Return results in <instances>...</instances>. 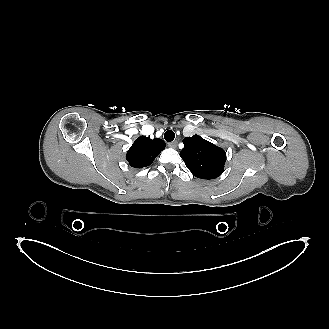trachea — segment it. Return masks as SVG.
Listing matches in <instances>:
<instances>
[{"instance_id": "3493384b", "label": "trachea", "mask_w": 329, "mask_h": 329, "mask_svg": "<svg viewBox=\"0 0 329 329\" xmlns=\"http://www.w3.org/2000/svg\"><path fill=\"white\" fill-rule=\"evenodd\" d=\"M164 138L166 141L171 142L175 138V133L172 130H168L165 132Z\"/></svg>"}]
</instances>
